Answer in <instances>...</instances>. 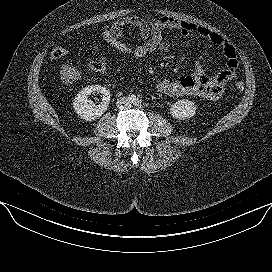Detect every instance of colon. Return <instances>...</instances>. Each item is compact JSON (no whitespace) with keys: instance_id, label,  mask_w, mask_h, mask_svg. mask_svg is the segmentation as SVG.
<instances>
[{"instance_id":"1","label":"colon","mask_w":272,"mask_h":272,"mask_svg":"<svg viewBox=\"0 0 272 272\" xmlns=\"http://www.w3.org/2000/svg\"><path fill=\"white\" fill-rule=\"evenodd\" d=\"M101 36L104 43L108 46L123 54H127L138 59L158 53L156 46L153 44L143 43L138 40L134 41L123 34L112 32L108 29L105 30ZM67 53L68 51L65 48L56 47L52 50L51 57L52 59L58 60L64 58ZM106 68V61L103 59L92 60L88 63V69L94 73H102ZM235 87L238 91H243L244 83L242 81H238L235 83Z\"/></svg>"}]
</instances>
